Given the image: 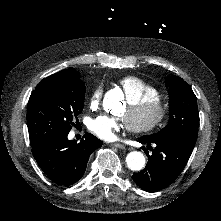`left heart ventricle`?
Wrapping results in <instances>:
<instances>
[{
  "label": "left heart ventricle",
  "instance_id": "b2bd125f",
  "mask_svg": "<svg viewBox=\"0 0 221 221\" xmlns=\"http://www.w3.org/2000/svg\"><path fill=\"white\" fill-rule=\"evenodd\" d=\"M159 108L156 103H151L145 110L143 117L136 123L139 128L151 126L158 118Z\"/></svg>",
  "mask_w": 221,
  "mask_h": 221
}]
</instances>
